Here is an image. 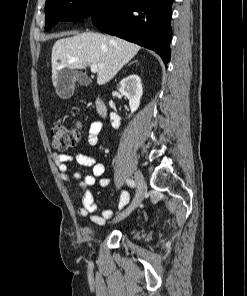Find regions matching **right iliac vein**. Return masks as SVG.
Masks as SVG:
<instances>
[{
    "instance_id": "right-iliac-vein-1",
    "label": "right iliac vein",
    "mask_w": 247,
    "mask_h": 296,
    "mask_svg": "<svg viewBox=\"0 0 247 296\" xmlns=\"http://www.w3.org/2000/svg\"><path fill=\"white\" fill-rule=\"evenodd\" d=\"M135 182L137 184V194H136L134 201L128 207L127 210L120 213L119 215H117L114 218V220H113L114 222H118V221L124 219L125 217H127L128 215H130L140 205L141 201L143 200L144 192H145V188H146V183H145L142 173L139 170H137L135 172Z\"/></svg>"
}]
</instances>
